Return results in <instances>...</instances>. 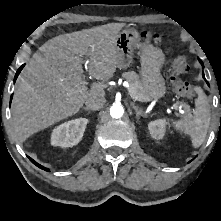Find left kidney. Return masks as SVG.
I'll use <instances>...</instances> for the list:
<instances>
[{"label":"left kidney","instance_id":"left-kidney-1","mask_svg":"<svg viewBox=\"0 0 221 221\" xmlns=\"http://www.w3.org/2000/svg\"><path fill=\"white\" fill-rule=\"evenodd\" d=\"M166 124L167 122L165 119L151 121L148 124V129L150 131L151 136L157 140L162 139L165 135Z\"/></svg>","mask_w":221,"mask_h":221}]
</instances>
